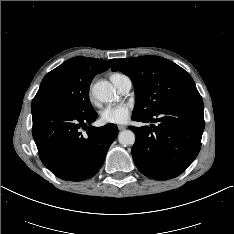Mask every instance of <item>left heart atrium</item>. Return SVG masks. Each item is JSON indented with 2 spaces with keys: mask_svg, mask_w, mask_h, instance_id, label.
Here are the masks:
<instances>
[{
  "mask_svg": "<svg viewBox=\"0 0 234 234\" xmlns=\"http://www.w3.org/2000/svg\"><path fill=\"white\" fill-rule=\"evenodd\" d=\"M131 114L128 104H118L104 108L100 113L101 122L104 124H124Z\"/></svg>",
  "mask_w": 234,
  "mask_h": 234,
  "instance_id": "left-heart-atrium-1",
  "label": "left heart atrium"
}]
</instances>
